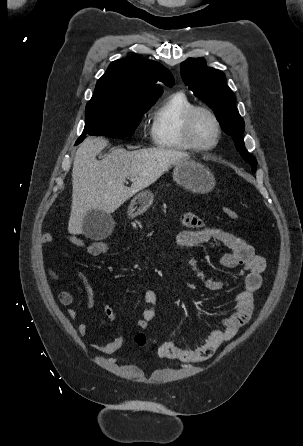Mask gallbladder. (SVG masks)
Wrapping results in <instances>:
<instances>
[{"instance_id": "bac80fb5", "label": "gallbladder", "mask_w": 303, "mask_h": 446, "mask_svg": "<svg viewBox=\"0 0 303 446\" xmlns=\"http://www.w3.org/2000/svg\"><path fill=\"white\" fill-rule=\"evenodd\" d=\"M112 217L99 210H90L86 213L82 223V233L91 239L100 240L109 236L113 230Z\"/></svg>"}]
</instances>
